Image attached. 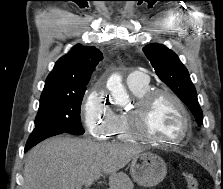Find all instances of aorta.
Segmentation results:
<instances>
[{
    "label": "aorta",
    "mask_w": 223,
    "mask_h": 189,
    "mask_svg": "<svg viewBox=\"0 0 223 189\" xmlns=\"http://www.w3.org/2000/svg\"><path fill=\"white\" fill-rule=\"evenodd\" d=\"M107 88L116 104L119 106H127L130 102L129 95L122 84V77L118 73L112 74L107 80Z\"/></svg>",
    "instance_id": "1"
}]
</instances>
